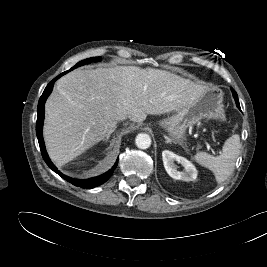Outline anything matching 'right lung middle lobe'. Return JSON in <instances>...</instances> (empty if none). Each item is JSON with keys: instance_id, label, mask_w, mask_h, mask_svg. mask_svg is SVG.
Here are the masks:
<instances>
[{"instance_id": "1", "label": "right lung middle lobe", "mask_w": 267, "mask_h": 267, "mask_svg": "<svg viewBox=\"0 0 267 267\" xmlns=\"http://www.w3.org/2000/svg\"><path fill=\"white\" fill-rule=\"evenodd\" d=\"M101 60V57H92V58H89V59H85L83 61H80L78 62L74 67H72L70 70L66 71V72H69L79 66H82V65H85V64H88L90 62H97V61H100Z\"/></svg>"}]
</instances>
